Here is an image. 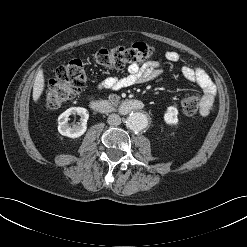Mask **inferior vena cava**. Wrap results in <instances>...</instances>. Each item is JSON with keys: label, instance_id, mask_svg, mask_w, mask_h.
<instances>
[{"label": "inferior vena cava", "instance_id": "inferior-vena-cava-1", "mask_svg": "<svg viewBox=\"0 0 247 247\" xmlns=\"http://www.w3.org/2000/svg\"><path fill=\"white\" fill-rule=\"evenodd\" d=\"M107 122L109 125L117 126L121 124V118L117 114H110L108 116Z\"/></svg>", "mask_w": 247, "mask_h": 247}]
</instances>
